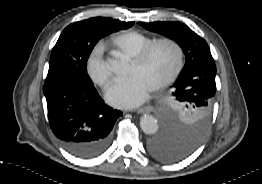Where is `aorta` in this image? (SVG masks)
I'll use <instances>...</instances> for the list:
<instances>
[{
    "instance_id": "1",
    "label": "aorta",
    "mask_w": 262,
    "mask_h": 184,
    "mask_svg": "<svg viewBox=\"0 0 262 184\" xmlns=\"http://www.w3.org/2000/svg\"><path fill=\"white\" fill-rule=\"evenodd\" d=\"M113 71L114 72H120L119 68L117 66L113 67ZM140 127L142 129V131L145 134L148 135H153L158 131V123H157V119L152 116V115H148L145 114L141 117L140 119Z\"/></svg>"
}]
</instances>
